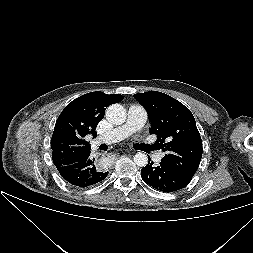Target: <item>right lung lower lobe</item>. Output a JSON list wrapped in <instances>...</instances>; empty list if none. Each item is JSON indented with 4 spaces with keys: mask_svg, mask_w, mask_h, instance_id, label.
Returning a JSON list of instances; mask_svg holds the SVG:
<instances>
[{
    "mask_svg": "<svg viewBox=\"0 0 253 253\" xmlns=\"http://www.w3.org/2000/svg\"><path fill=\"white\" fill-rule=\"evenodd\" d=\"M57 170L68 183L81 188L94 185L108 175V172L98 170L90 155L73 164L58 166Z\"/></svg>",
    "mask_w": 253,
    "mask_h": 253,
    "instance_id": "98d812e1",
    "label": "right lung lower lobe"
}]
</instances>
